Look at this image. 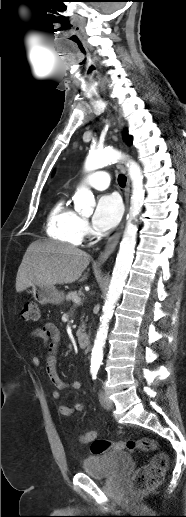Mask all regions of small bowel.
<instances>
[{
    "instance_id": "1",
    "label": "small bowel",
    "mask_w": 186,
    "mask_h": 517,
    "mask_svg": "<svg viewBox=\"0 0 186 517\" xmlns=\"http://www.w3.org/2000/svg\"><path fill=\"white\" fill-rule=\"evenodd\" d=\"M36 339H42L45 342L46 348L49 351V355L47 358V375L51 383L55 386L56 390L53 392V398L59 399L61 396V391L66 389H74L78 390L82 387V382L80 380H73L71 383H67L58 374L57 370V352L60 344V330L56 324L53 322H47L43 326L39 328H35L31 330L27 335V342H31ZM32 360L35 364L39 363L37 357L33 356ZM84 408L82 402H74L71 406L60 405L59 412L63 416H70L75 412L82 411ZM97 433L95 431H90L81 436L80 441L83 444L89 443L90 437H96Z\"/></svg>"
}]
</instances>
